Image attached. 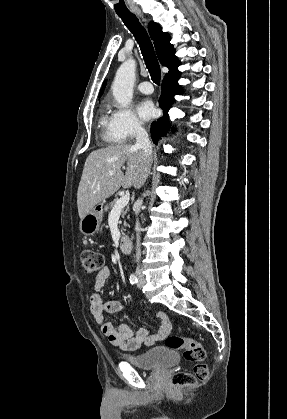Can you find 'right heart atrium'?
<instances>
[{"label": "right heart atrium", "instance_id": "d8ad5b80", "mask_svg": "<svg viewBox=\"0 0 287 419\" xmlns=\"http://www.w3.org/2000/svg\"><path fill=\"white\" fill-rule=\"evenodd\" d=\"M113 127L122 141H129L144 131L141 120L130 107L116 108L112 113Z\"/></svg>", "mask_w": 287, "mask_h": 419}]
</instances>
